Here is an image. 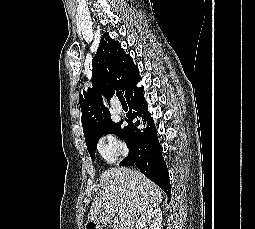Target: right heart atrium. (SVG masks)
Wrapping results in <instances>:
<instances>
[{
	"mask_svg": "<svg viewBox=\"0 0 255 229\" xmlns=\"http://www.w3.org/2000/svg\"><path fill=\"white\" fill-rule=\"evenodd\" d=\"M97 151L107 163H114L127 151L125 144L111 134H105L97 143Z\"/></svg>",
	"mask_w": 255,
	"mask_h": 229,
	"instance_id": "right-heart-atrium-1",
	"label": "right heart atrium"
}]
</instances>
